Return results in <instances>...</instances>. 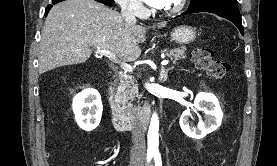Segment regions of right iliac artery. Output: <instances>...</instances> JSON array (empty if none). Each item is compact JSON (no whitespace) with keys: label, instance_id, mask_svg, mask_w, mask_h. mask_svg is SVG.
Masks as SVG:
<instances>
[{"label":"right iliac artery","instance_id":"82829eb1","mask_svg":"<svg viewBox=\"0 0 277 166\" xmlns=\"http://www.w3.org/2000/svg\"><path fill=\"white\" fill-rule=\"evenodd\" d=\"M153 158V154H147V162L149 163Z\"/></svg>","mask_w":277,"mask_h":166}]
</instances>
